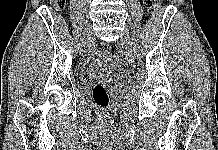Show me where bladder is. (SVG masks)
<instances>
[{"mask_svg": "<svg viewBox=\"0 0 218 150\" xmlns=\"http://www.w3.org/2000/svg\"><path fill=\"white\" fill-rule=\"evenodd\" d=\"M114 71V65L104 58H93L85 68V76H109Z\"/></svg>", "mask_w": 218, "mask_h": 150, "instance_id": "obj_1", "label": "bladder"}]
</instances>
